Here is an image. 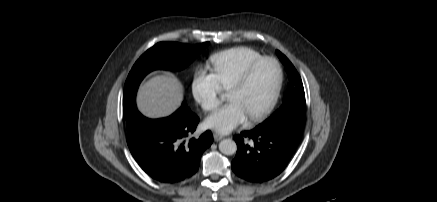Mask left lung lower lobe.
I'll list each match as a JSON object with an SVG mask.
<instances>
[{"label":"left lung lower lobe","mask_w":437,"mask_h":202,"mask_svg":"<svg viewBox=\"0 0 437 202\" xmlns=\"http://www.w3.org/2000/svg\"><path fill=\"white\" fill-rule=\"evenodd\" d=\"M299 136L300 133L283 125L256 126L241 132L234 136L238 150L232 161V170L249 182L271 180L287 166L296 150Z\"/></svg>","instance_id":"obj_1"}]
</instances>
